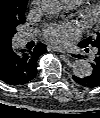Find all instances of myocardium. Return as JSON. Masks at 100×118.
<instances>
[{
	"label": "myocardium",
	"mask_w": 100,
	"mask_h": 118,
	"mask_svg": "<svg viewBox=\"0 0 100 118\" xmlns=\"http://www.w3.org/2000/svg\"><path fill=\"white\" fill-rule=\"evenodd\" d=\"M97 8L93 5H87L82 12V17L88 22H94L97 18Z\"/></svg>",
	"instance_id": "1"
}]
</instances>
